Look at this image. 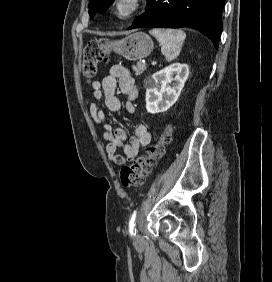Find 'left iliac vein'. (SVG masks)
<instances>
[{
	"mask_svg": "<svg viewBox=\"0 0 272 282\" xmlns=\"http://www.w3.org/2000/svg\"><path fill=\"white\" fill-rule=\"evenodd\" d=\"M133 242L136 246H141L142 245V237L140 234L135 233L133 237Z\"/></svg>",
	"mask_w": 272,
	"mask_h": 282,
	"instance_id": "obj_1",
	"label": "left iliac vein"
}]
</instances>
